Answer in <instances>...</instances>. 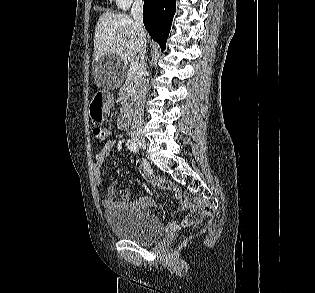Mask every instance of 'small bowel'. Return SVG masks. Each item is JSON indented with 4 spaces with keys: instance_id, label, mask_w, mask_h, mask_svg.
<instances>
[{
    "instance_id": "small-bowel-1",
    "label": "small bowel",
    "mask_w": 315,
    "mask_h": 293,
    "mask_svg": "<svg viewBox=\"0 0 315 293\" xmlns=\"http://www.w3.org/2000/svg\"><path fill=\"white\" fill-rule=\"evenodd\" d=\"M115 143H116V138L107 137L103 141L100 151L95 156L94 164H93V177H94V183L97 187H101L103 185V180L101 176L102 165L105 159L110 154V151L115 145ZM138 166L141 172L145 174V170L143 166L141 164H138ZM153 182L158 187L171 191L178 202V209L180 211L186 212V215L184 216L182 220L181 226L188 227L200 221L201 216L198 210L195 209L191 203L183 200L181 190L175 184L160 177L155 178ZM117 184H118V180H115L106 188L105 194L101 200V203L104 207L111 208L119 204H127L142 212H147V210L154 205L153 199L149 196H143L137 199L136 201H131L129 199V194L127 190H120L119 195L120 197H123V200L117 201L115 199ZM170 227L172 229H177L180 226L176 223H170Z\"/></svg>"
}]
</instances>
